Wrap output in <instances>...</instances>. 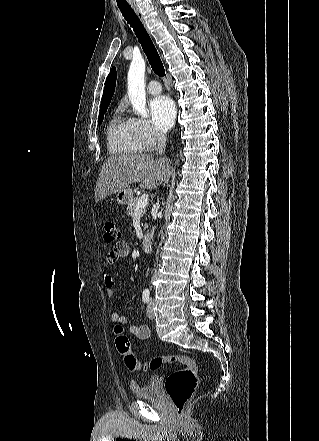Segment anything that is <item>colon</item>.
<instances>
[{"label": "colon", "mask_w": 319, "mask_h": 441, "mask_svg": "<svg viewBox=\"0 0 319 441\" xmlns=\"http://www.w3.org/2000/svg\"><path fill=\"white\" fill-rule=\"evenodd\" d=\"M120 232L115 223L107 222L104 225V240L108 244L117 242ZM115 345L118 353L123 356L124 363L130 371H157L164 365L180 364L182 369L170 373L165 380V390L174 405L178 416L183 415L186 403L193 396L198 381V364L189 356L172 354L156 356L141 362L131 351L129 337L121 325L114 328Z\"/></svg>", "instance_id": "obj_1"}]
</instances>
